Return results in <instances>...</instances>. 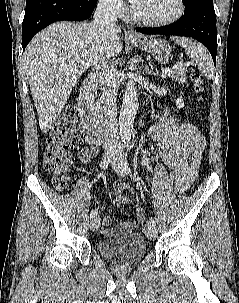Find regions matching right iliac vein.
Returning <instances> with one entry per match:
<instances>
[{"label": "right iliac vein", "mask_w": 239, "mask_h": 303, "mask_svg": "<svg viewBox=\"0 0 239 303\" xmlns=\"http://www.w3.org/2000/svg\"><path fill=\"white\" fill-rule=\"evenodd\" d=\"M106 159L110 162H112L113 160L112 157L109 155L106 156ZM99 227H100V217L96 216L92 218L90 221V229L91 231H96Z\"/></svg>", "instance_id": "63e3f726"}]
</instances>
